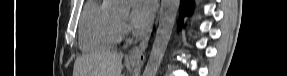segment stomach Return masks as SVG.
Masks as SVG:
<instances>
[{"label": "stomach", "instance_id": "1", "mask_svg": "<svg viewBox=\"0 0 287 76\" xmlns=\"http://www.w3.org/2000/svg\"><path fill=\"white\" fill-rule=\"evenodd\" d=\"M130 64H131L132 66H136V65L139 64V62H138V61H130Z\"/></svg>", "mask_w": 287, "mask_h": 76}]
</instances>
